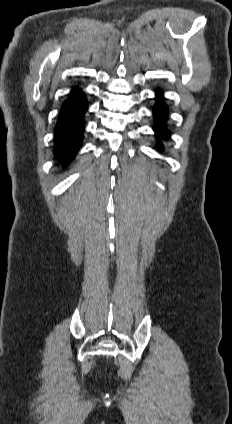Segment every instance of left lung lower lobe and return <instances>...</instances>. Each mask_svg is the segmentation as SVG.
<instances>
[{
    "label": "left lung lower lobe",
    "instance_id": "0a47b994",
    "mask_svg": "<svg viewBox=\"0 0 232 424\" xmlns=\"http://www.w3.org/2000/svg\"><path fill=\"white\" fill-rule=\"evenodd\" d=\"M162 91H157V103L154 107V116H155V126L154 130L157 134L159 143L162 139H167L169 136V131L165 128L164 121L167 119L168 110L166 105L162 102Z\"/></svg>",
    "mask_w": 232,
    "mask_h": 424
}]
</instances>
